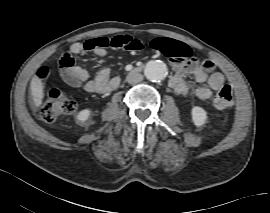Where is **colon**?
<instances>
[{"label": "colon", "instance_id": "colon-1", "mask_svg": "<svg viewBox=\"0 0 270 213\" xmlns=\"http://www.w3.org/2000/svg\"><path fill=\"white\" fill-rule=\"evenodd\" d=\"M133 41L136 39L132 38ZM137 42L140 44L142 42ZM151 44L154 48H158L165 56H171L177 54L180 50V44L173 41H161L153 40ZM59 64L61 68L69 69L73 66L71 58H60ZM203 67L210 69V61L205 59L203 61ZM50 76V70L48 67L43 66L37 72V77L41 82L47 84ZM233 102V90L230 85H224L214 97V105L218 109H226L231 106ZM75 101L68 97L60 88L54 86L47 87V93L45 99L42 101L39 107V116L44 122L50 123L56 120L58 117L71 114L75 111Z\"/></svg>", "mask_w": 270, "mask_h": 213}]
</instances>
